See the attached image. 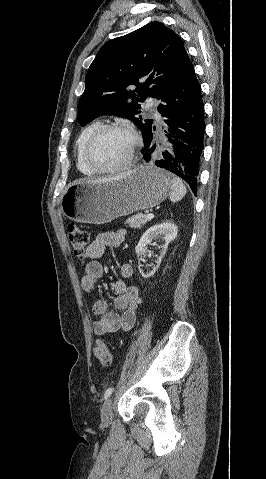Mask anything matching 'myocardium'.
<instances>
[{"instance_id":"f54148a6","label":"myocardium","mask_w":266,"mask_h":479,"mask_svg":"<svg viewBox=\"0 0 266 479\" xmlns=\"http://www.w3.org/2000/svg\"><path fill=\"white\" fill-rule=\"evenodd\" d=\"M110 130H119V131H124L128 133L132 137V146L130 148L129 154L127 158L121 162L120 164L110 167V168H101L98 167L92 160L91 153L93 146L97 139L104 134L107 131ZM140 146V137L138 133L130 126L121 124V123H109V124H103L100 125L88 138L85 148H84V160L86 165L89 167V169L94 172L95 174H110V173H115L124 169H127L128 167L131 166L136 151L138 147Z\"/></svg>"}]
</instances>
